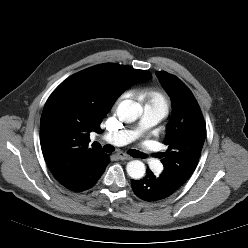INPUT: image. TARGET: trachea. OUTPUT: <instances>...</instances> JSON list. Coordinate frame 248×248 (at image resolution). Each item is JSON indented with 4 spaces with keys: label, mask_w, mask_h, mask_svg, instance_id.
Instances as JSON below:
<instances>
[{
    "label": "trachea",
    "mask_w": 248,
    "mask_h": 248,
    "mask_svg": "<svg viewBox=\"0 0 248 248\" xmlns=\"http://www.w3.org/2000/svg\"><path fill=\"white\" fill-rule=\"evenodd\" d=\"M104 151L107 153H111L114 151V147L112 145L107 144L104 146ZM129 154L135 158H144V154L138 150H130Z\"/></svg>",
    "instance_id": "1"
}]
</instances>
